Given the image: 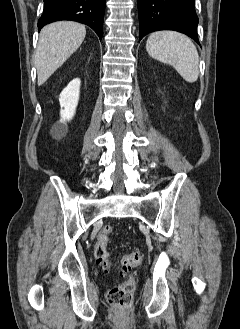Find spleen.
<instances>
[{
  "instance_id": "spleen-1",
  "label": "spleen",
  "mask_w": 240,
  "mask_h": 329,
  "mask_svg": "<svg viewBox=\"0 0 240 329\" xmlns=\"http://www.w3.org/2000/svg\"><path fill=\"white\" fill-rule=\"evenodd\" d=\"M149 55L172 65L181 77L193 83L199 76V55L190 38L175 31L152 33L146 43Z\"/></svg>"
}]
</instances>
